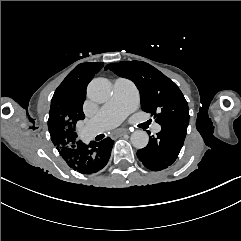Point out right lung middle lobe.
<instances>
[{
	"instance_id": "1",
	"label": "right lung middle lobe",
	"mask_w": 241,
	"mask_h": 241,
	"mask_svg": "<svg viewBox=\"0 0 241 241\" xmlns=\"http://www.w3.org/2000/svg\"><path fill=\"white\" fill-rule=\"evenodd\" d=\"M103 63H81L76 66L56 89L51 108L62 115L72 113L78 96L86 93V88Z\"/></svg>"
}]
</instances>
